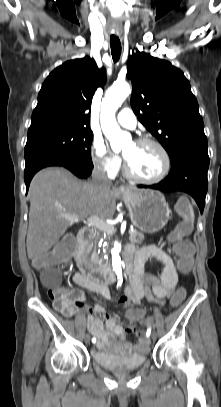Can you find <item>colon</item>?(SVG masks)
Here are the masks:
<instances>
[{"mask_svg":"<svg viewBox=\"0 0 221 407\" xmlns=\"http://www.w3.org/2000/svg\"><path fill=\"white\" fill-rule=\"evenodd\" d=\"M177 212L182 216V221L176 229L170 234L169 242L175 253L178 255V268L183 274L190 272L195 248L192 239H185L193 231L194 213L190 202L181 199L177 203ZM77 241L76 234H65L64 240H58L57 246L51 247V252H42L35 261L36 268L42 266H61L62 261H71L75 252L74 243ZM70 289H61L60 291H50L51 298L54 299V307L62 314H67L76 303V296ZM188 297V290L185 286H178L173 292H170V306L180 308ZM123 316L130 322L143 321L147 324L148 311L143 305H132L129 309L123 311Z\"/></svg>","mask_w":221,"mask_h":407,"instance_id":"colon-1","label":"colon"}]
</instances>
